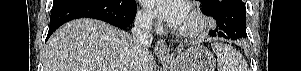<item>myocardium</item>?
I'll return each instance as SVG.
<instances>
[{
	"instance_id": "obj_1",
	"label": "myocardium",
	"mask_w": 301,
	"mask_h": 71,
	"mask_svg": "<svg viewBox=\"0 0 301 71\" xmlns=\"http://www.w3.org/2000/svg\"><path fill=\"white\" fill-rule=\"evenodd\" d=\"M190 16V23L178 30L183 37H196L205 32L208 27V21L203 13L193 6H186Z\"/></svg>"
}]
</instances>
